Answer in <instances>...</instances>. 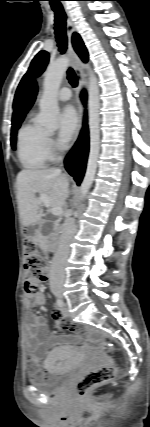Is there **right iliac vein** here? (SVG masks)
I'll use <instances>...</instances> for the list:
<instances>
[{"mask_svg":"<svg viewBox=\"0 0 150 427\" xmlns=\"http://www.w3.org/2000/svg\"><path fill=\"white\" fill-rule=\"evenodd\" d=\"M54 293H55V295H56V296H58V297H61V295H62L61 291H59V290L55 291Z\"/></svg>","mask_w":150,"mask_h":427,"instance_id":"1","label":"right iliac vein"}]
</instances>
